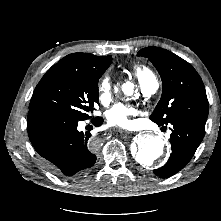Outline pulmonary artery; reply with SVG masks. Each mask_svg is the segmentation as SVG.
<instances>
[{
    "label": "pulmonary artery",
    "instance_id": "obj_1",
    "mask_svg": "<svg viewBox=\"0 0 221 221\" xmlns=\"http://www.w3.org/2000/svg\"><path fill=\"white\" fill-rule=\"evenodd\" d=\"M159 84L155 77L151 78L145 85L142 86V91L145 95H152L158 90Z\"/></svg>",
    "mask_w": 221,
    "mask_h": 221
}]
</instances>
